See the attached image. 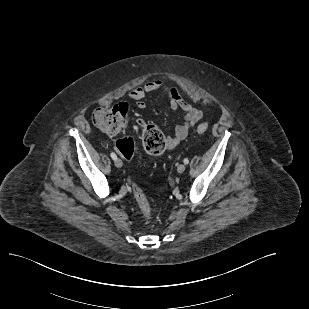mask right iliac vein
<instances>
[{
    "label": "right iliac vein",
    "instance_id": "right-iliac-vein-1",
    "mask_svg": "<svg viewBox=\"0 0 309 309\" xmlns=\"http://www.w3.org/2000/svg\"><path fill=\"white\" fill-rule=\"evenodd\" d=\"M114 164L116 167L121 168L123 166V163L120 159L114 160Z\"/></svg>",
    "mask_w": 309,
    "mask_h": 309
}]
</instances>
